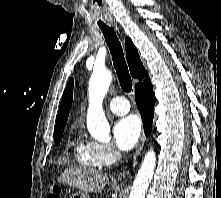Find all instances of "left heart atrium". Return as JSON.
Listing matches in <instances>:
<instances>
[{"label": "left heart atrium", "instance_id": "1", "mask_svg": "<svg viewBox=\"0 0 221 198\" xmlns=\"http://www.w3.org/2000/svg\"><path fill=\"white\" fill-rule=\"evenodd\" d=\"M141 134V124L137 117L127 116L120 119L113 128L116 145L123 151L132 149Z\"/></svg>", "mask_w": 221, "mask_h": 198}]
</instances>
